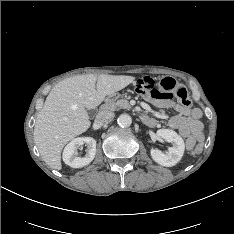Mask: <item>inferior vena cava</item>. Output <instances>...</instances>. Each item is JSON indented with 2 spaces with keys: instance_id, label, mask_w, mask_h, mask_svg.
Returning a JSON list of instances; mask_svg holds the SVG:
<instances>
[{
  "instance_id": "inferior-vena-cava-1",
  "label": "inferior vena cava",
  "mask_w": 234,
  "mask_h": 234,
  "mask_svg": "<svg viewBox=\"0 0 234 234\" xmlns=\"http://www.w3.org/2000/svg\"><path fill=\"white\" fill-rule=\"evenodd\" d=\"M114 116V113L111 111H101L96 117V123L98 125L108 124L114 119Z\"/></svg>"
}]
</instances>
